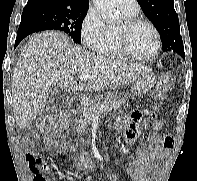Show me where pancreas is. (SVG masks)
Returning a JSON list of instances; mask_svg holds the SVG:
<instances>
[{
	"label": "pancreas",
	"mask_w": 197,
	"mask_h": 181,
	"mask_svg": "<svg viewBox=\"0 0 197 181\" xmlns=\"http://www.w3.org/2000/svg\"><path fill=\"white\" fill-rule=\"evenodd\" d=\"M122 104L123 100L118 97L102 101L99 95L96 96L93 102L83 108L82 115L76 120L77 132L79 134L84 133V127L91 123L94 117H103L112 110H118Z\"/></svg>",
	"instance_id": "cf45deb5"
}]
</instances>
